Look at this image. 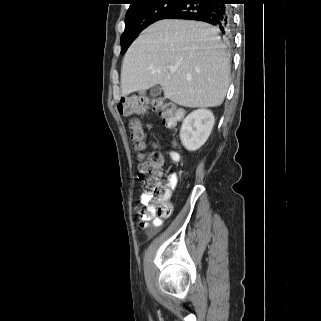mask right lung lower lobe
<instances>
[{
    "label": "right lung lower lobe",
    "instance_id": "right-lung-lower-lobe-1",
    "mask_svg": "<svg viewBox=\"0 0 321 321\" xmlns=\"http://www.w3.org/2000/svg\"><path fill=\"white\" fill-rule=\"evenodd\" d=\"M231 0H180L179 3L165 12L161 19H189L210 23L223 33L231 28Z\"/></svg>",
    "mask_w": 321,
    "mask_h": 321
}]
</instances>
